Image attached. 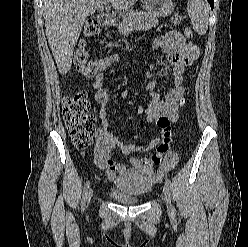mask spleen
Instances as JSON below:
<instances>
[{
  "label": "spleen",
  "instance_id": "3e777b00",
  "mask_svg": "<svg viewBox=\"0 0 248 247\" xmlns=\"http://www.w3.org/2000/svg\"><path fill=\"white\" fill-rule=\"evenodd\" d=\"M187 13L191 18L194 31L204 35L208 29V4L203 0H188Z\"/></svg>",
  "mask_w": 248,
  "mask_h": 247
}]
</instances>
